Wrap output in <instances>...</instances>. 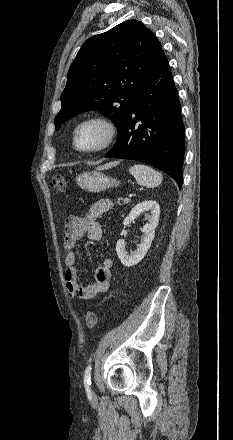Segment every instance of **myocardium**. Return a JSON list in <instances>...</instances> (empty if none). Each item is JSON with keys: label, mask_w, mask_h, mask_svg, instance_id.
<instances>
[{"label": "myocardium", "mask_w": 233, "mask_h": 440, "mask_svg": "<svg viewBox=\"0 0 233 440\" xmlns=\"http://www.w3.org/2000/svg\"><path fill=\"white\" fill-rule=\"evenodd\" d=\"M90 123H96L101 125L105 129V133H106L105 138L99 146L92 149H83L80 148L77 143L78 132L81 129V127ZM117 136H118V127L114 123V121L105 115L95 114L88 116L77 123V125L73 130V146L77 151L82 153H98L111 147L112 144L115 142Z\"/></svg>", "instance_id": "1"}]
</instances>
